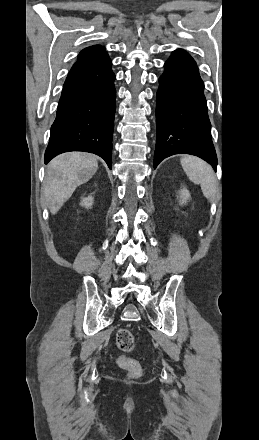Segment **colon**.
I'll return each mask as SVG.
<instances>
[{
    "mask_svg": "<svg viewBox=\"0 0 259 440\" xmlns=\"http://www.w3.org/2000/svg\"><path fill=\"white\" fill-rule=\"evenodd\" d=\"M116 345L125 353L133 351L135 348V338L132 332L126 328L119 329L116 334ZM117 363L122 369L126 370L131 377H137L141 373L139 362L128 355H120Z\"/></svg>",
    "mask_w": 259,
    "mask_h": 440,
    "instance_id": "5ec220e1",
    "label": "colon"
}]
</instances>
